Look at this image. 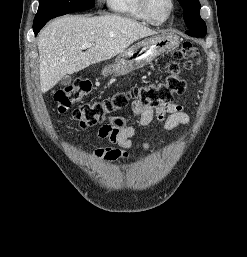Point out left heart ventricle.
Wrapping results in <instances>:
<instances>
[{"instance_id":"left-heart-ventricle-1","label":"left heart ventricle","mask_w":247,"mask_h":257,"mask_svg":"<svg viewBox=\"0 0 247 257\" xmlns=\"http://www.w3.org/2000/svg\"><path fill=\"white\" fill-rule=\"evenodd\" d=\"M170 9L168 0H152V10L157 18L165 17Z\"/></svg>"}]
</instances>
